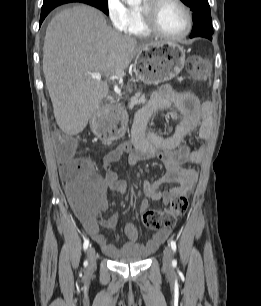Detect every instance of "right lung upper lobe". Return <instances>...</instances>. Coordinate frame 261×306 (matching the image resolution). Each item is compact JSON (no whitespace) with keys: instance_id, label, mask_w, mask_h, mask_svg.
I'll use <instances>...</instances> for the list:
<instances>
[{"instance_id":"1","label":"right lung upper lobe","mask_w":261,"mask_h":306,"mask_svg":"<svg viewBox=\"0 0 261 306\" xmlns=\"http://www.w3.org/2000/svg\"><path fill=\"white\" fill-rule=\"evenodd\" d=\"M66 1L80 2L81 0H66Z\"/></svg>"}]
</instances>
